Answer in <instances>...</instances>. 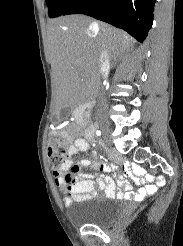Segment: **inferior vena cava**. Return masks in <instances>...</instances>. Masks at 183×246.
Wrapping results in <instances>:
<instances>
[{
  "mask_svg": "<svg viewBox=\"0 0 183 246\" xmlns=\"http://www.w3.org/2000/svg\"><path fill=\"white\" fill-rule=\"evenodd\" d=\"M92 25L96 26L97 23L93 22ZM99 63H100V73L101 74L107 73L110 68V56L106 49L102 50L99 58ZM98 86H99V94H98L97 105L100 109H105L107 107V100L105 97V93L100 82Z\"/></svg>",
  "mask_w": 183,
  "mask_h": 246,
  "instance_id": "inferior-vena-cava-1",
  "label": "inferior vena cava"
}]
</instances>
